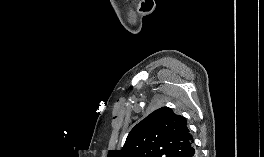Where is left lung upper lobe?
<instances>
[{
	"instance_id": "1",
	"label": "left lung upper lobe",
	"mask_w": 264,
	"mask_h": 157,
	"mask_svg": "<svg viewBox=\"0 0 264 157\" xmlns=\"http://www.w3.org/2000/svg\"><path fill=\"white\" fill-rule=\"evenodd\" d=\"M186 122L171 108H159L135 125L123 148L110 150L108 157H187L193 137Z\"/></svg>"
}]
</instances>
